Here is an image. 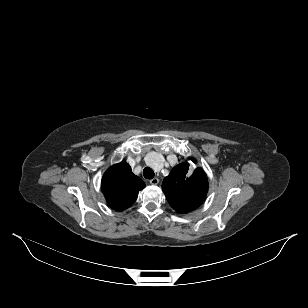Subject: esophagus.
Segmentation results:
<instances>
[{"label": "esophagus", "mask_w": 308, "mask_h": 308, "mask_svg": "<svg viewBox=\"0 0 308 308\" xmlns=\"http://www.w3.org/2000/svg\"><path fill=\"white\" fill-rule=\"evenodd\" d=\"M149 182H150L151 185H157L159 183V179L158 178H153Z\"/></svg>", "instance_id": "34e87169"}]
</instances>
